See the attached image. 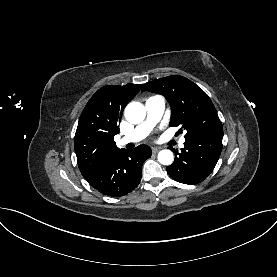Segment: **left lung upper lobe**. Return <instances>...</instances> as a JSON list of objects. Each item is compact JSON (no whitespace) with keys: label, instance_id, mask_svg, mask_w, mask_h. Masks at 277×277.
<instances>
[{"label":"left lung upper lobe","instance_id":"5c2ea615","mask_svg":"<svg viewBox=\"0 0 277 277\" xmlns=\"http://www.w3.org/2000/svg\"><path fill=\"white\" fill-rule=\"evenodd\" d=\"M163 95L171 105L170 126L186 130L185 140L223 131L217 111L208 95L189 79L172 75L144 84L142 91Z\"/></svg>","mask_w":277,"mask_h":277}]
</instances>
